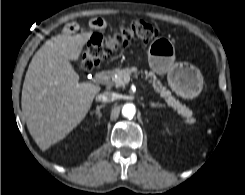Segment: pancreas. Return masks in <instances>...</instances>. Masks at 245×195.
Returning a JSON list of instances; mask_svg holds the SVG:
<instances>
[{
	"mask_svg": "<svg viewBox=\"0 0 245 195\" xmlns=\"http://www.w3.org/2000/svg\"><path fill=\"white\" fill-rule=\"evenodd\" d=\"M138 74L137 67H130L125 69H116L109 74V83L116 87L125 86V79L130 77L131 74ZM145 77L150 78L154 90L160 94V96L167 102L168 106L172 107L177 113L185 119V123L192 125L195 122V118L192 116V111L185 105H182L176 100L169 90H167L160 80L157 79L153 72H145Z\"/></svg>",
	"mask_w": 245,
	"mask_h": 195,
	"instance_id": "1",
	"label": "pancreas"
}]
</instances>
